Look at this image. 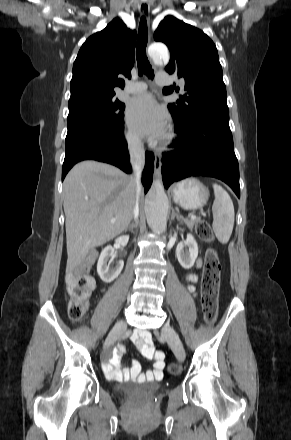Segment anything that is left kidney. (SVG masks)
Wrapping results in <instances>:
<instances>
[{"mask_svg":"<svg viewBox=\"0 0 291 440\" xmlns=\"http://www.w3.org/2000/svg\"><path fill=\"white\" fill-rule=\"evenodd\" d=\"M176 256L183 268L193 267L198 256V245L192 234H188L186 240L177 245Z\"/></svg>","mask_w":291,"mask_h":440,"instance_id":"1","label":"left kidney"}]
</instances>
